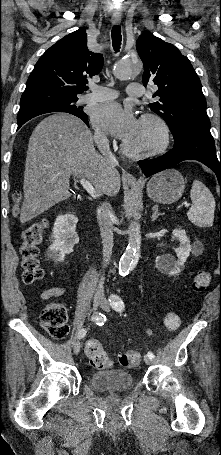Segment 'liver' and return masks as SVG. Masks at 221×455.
<instances>
[{"label": "liver", "mask_w": 221, "mask_h": 455, "mask_svg": "<svg viewBox=\"0 0 221 455\" xmlns=\"http://www.w3.org/2000/svg\"><path fill=\"white\" fill-rule=\"evenodd\" d=\"M71 175L87 178L98 194L115 196L121 187L118 170L96 151L84 122L56 113L43 119L29 139L20 222L68 199Z\"/></svg>", "instance_id": "obj_1"}]
</instances>
